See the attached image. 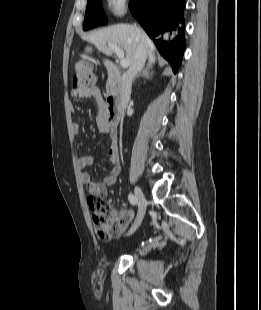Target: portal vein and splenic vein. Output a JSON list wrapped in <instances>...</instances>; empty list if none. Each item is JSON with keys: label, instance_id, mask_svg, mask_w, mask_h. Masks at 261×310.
Masks as SVG:
<instances>
[{"label": "portal vein and splenic vein", "instance_id": "obj_1", "mask_svg": "<svg viewBox=\"0 0 261 310\" xmlns=\"http://www.w3.org/2000/svg\"><path fill=\"white\" fill-rule=\"evenodd\" d=\"M107 46L116 53V55L120 59V65L123 68H126L129 66V61L124 57V52L118 45L113 44V43H108Z\"/></svg>", "mask_w": 261, "mask_h": 310}]
</instances>
